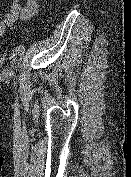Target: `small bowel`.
I'll list each match as a JSON object with an SVG mask.
<instances>
[{"mask_svg": "<svg viewBox=\"0 0 131 177\" xmlns=\"http://www.w3.org/2000/svg\"><path fill=\"white\" fill-rule=\"evenodd\" d=\"M37 0H12L8 12L0 19V38L7 30L15 29L20 21H26L38 13Z\"/></svg>", "mask_w": 131, "mask_h": 177, "instance_id": "1", "label": "small bowel"}]
</instances>
